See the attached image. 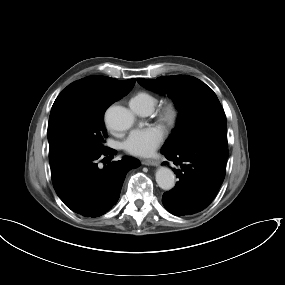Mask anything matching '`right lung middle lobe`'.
I'll list each match as a JSON object with an SVG mask.
<instances>
[{
	"mask_svg": "<svg viewBox=\"0 0 285 285\" xmlns=\"http://www.w3.org/2000/svg\"><path fill=\"white\" fill-rule=\"evenodd\" d=\"M120 99L105 86L84 78L67 86L56 98L50 113V166L76 155L106 150L104 113Z\"/></svg>",
	"mask_w": 285,
	"mask_h": 285,
	"instance_id": "dd1d6c3e",
	"label": "right lung middle lobe"
}]
</instances>
